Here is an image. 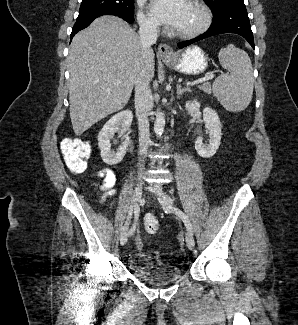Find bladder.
Wrapping results in <instances>:
<instances>
[{
  "instance_id": "bladder-1",
  "label": "bladder",
  "mask_w": 298,
  "mask_h": 325,
  "mask_svg": "<svg viewBox=\"0 0 298 325\" xmlns=\"http://www.w3.org/2000/svg\"><path fill=\"white\" fill-rule=\"evenodd\" d=\"M131 269L137 279L151 286L168 285L181 277L179 268L153 261L146 256H135Z\"/></svg>"
}]
</instances>
